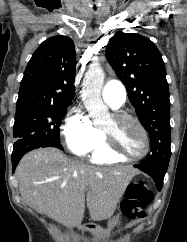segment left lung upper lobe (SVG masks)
<instances>
[{"label": "left lung upper lobe", "instance_id": "5c2ea615", "mask_svg": "<svg viewBox=\"0 0 187 242\" xmlns=\"http://www.w3.org/2000/svg\"><path fill=\"white\" fill-rule=\"evenodd\" d=\"M106 58L124 83L139 121L151 139V151L140 164L168 167L170 100L165 64L159 50L142 35L118 32L107 45Z\"/></svg>", "mask_w": 187, "mask_h": 242}]
</instances>
